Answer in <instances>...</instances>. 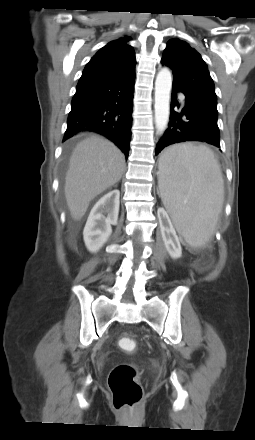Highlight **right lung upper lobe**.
Instances as JSON below:
<instances>
[{"label": "right lung upper lobe", "instance_id": "cb5924a9", "mask_svg": "<svg viewBox=\"0 0 255 440\" xmlns=\"http://www.w3.org/2000/svg\"><path fill=\"white\" fill-rule=\"evenodd\" d=\"M129 40L130 37L125 36L101 48L86 65L77 89L108 81L134 69L135 54L127 44Z\"/></svg>", "mask_w": 255, "mask_h": 440}]
</instances>
